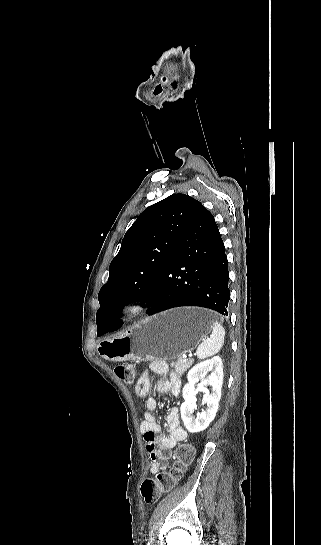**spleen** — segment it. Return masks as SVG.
Here are the masks:
<instances>
[{"instance_id":"obj_1","label":"spleen","mask_w":321,"mask_h":545,"mask_svg":"<svg viewBox=\"0 0 321 545\" xmlns=\"http://www.w3.org/2000/svg\"><path fill=\"white\" fill-rule=\"evenodd\" d=\"M224 339L225 329L216 321V323H213V329L209 339L203 341L196 351L198 359H208V357H213V355L219 353L220 349L223 347Z\"/></svg>"}]
</instances>
